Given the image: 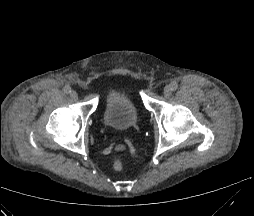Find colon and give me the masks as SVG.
<instances>
[{
  "label": "colon",
  "mask_w": 254,
  "mask_h": 216,
  "mask_svg": "<svg viewBox=\"0 0 254 216\" xmlns=\"http://www.w3.org/2000/svg\"><path fill=\"white\" fill-rule=\"evenodd\" d=\"M113 168L115 171H120L123 168V160L120 156H115L113 159Z\"/></svg>",
  "instance_id": "1"
}]
</instances>
